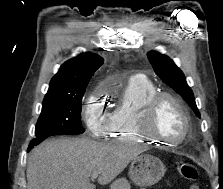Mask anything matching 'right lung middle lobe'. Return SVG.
<instances>
[{
	"label": "right lung middle lobe",
	"instance_id": "dd1d6c3e",
	"mask_svg": "<svg viewBox=\"0 0 223 189\" xmlns=\"http://www.w3.org/2000/svg\"><path fill=\"white\" fill-rule=\"evenodd\" d=\"M84 92L85 89L72 94H46L35 127V139L83 133L80 113Z\"/></svg>",
	"mask_w": 223,
	"mask_h": 189
}]
</instances>
